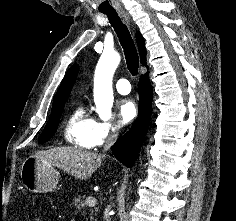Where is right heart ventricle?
I'll return each instance as SVG.
<instances>
[{"mask_svg":"<svg viewBox=\"0 0 236 221\" xmlns=\"http://www.w3.org/2000/svg\"><path fill=\"white\" fill-rule=\"evenodd\" d=\"M95 119L83 105L77 106L69 116L65 126L66 140L81 149L92 147V130Z\"/></svg>","mask_w":236,"mask_h":221,"instance_id":"1","label":"right heart ventricle"}]
</instances>
